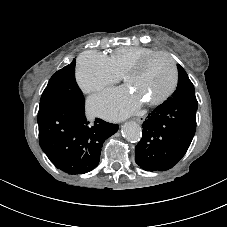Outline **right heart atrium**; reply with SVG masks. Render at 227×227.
Listing matches in <instances>:
<instances>
[{"label":"right heart atrium","instance_id":"d8ad5b80","mask_svg":"<svg viewBox=\"0 0 227 227\" xmlns=\"http://www.w3.org/2000/svg\"><path fill=\"white\" fill-rule=\"evenodd\" d=\"M75 77L86 94L97 93L118 80L108 56L95 50L85 51L79 56Z\"/></svg>","mask_w":227,"mask_h":227}]
</instances>
